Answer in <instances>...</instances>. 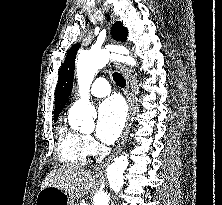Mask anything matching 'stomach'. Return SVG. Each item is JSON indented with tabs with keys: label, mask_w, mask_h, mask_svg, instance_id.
<instances>
[{
	"label": "stomach",
	"mask_w": 222,
	"mask_h": 205,
	"mask_svg": "<svg viewBox=\"0 0 222 205\" xmlns=\"http://www.w3.org/2000/svg\"><path fill=\"white\" fill-rule=\"evenodd\" d=\"M71 202L66 192L53 186L41 188L36 198V205H71Z\"/></svg>",
	"instance_id": "stomach-1"
}]
</instances>
